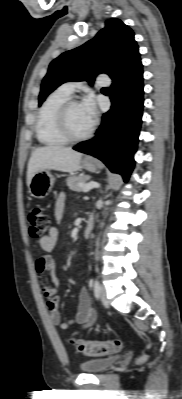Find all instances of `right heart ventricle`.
Wrapping results in <instances>:
<instances>
[{"label":"right heart ventricle","mask_w":182,"mask_h":399,"mask_svg":"<svg viewBox=\"0 0 182 399\" xmlns=\"http://www.w3.org/2000/svg\"><path fill=\"white\" fill-rule=\"evenodd\" d=\"M70 98V93L61 88L48 95L43 102L36 121V136L46 146H60L67 143L59 132L57 114L60 107Z\"/></svg>","instance_id":"right-heart-ventricle-1"}]
</instances>
